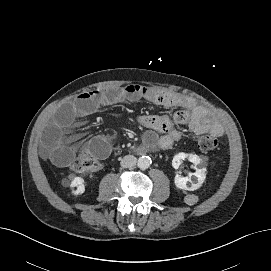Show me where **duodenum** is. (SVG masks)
<instances>
[{"label": "duodenum", "instance_id": "duodenum-1", "mask_svg": "<svg viewBox=\"0 0 271 271\" xmlns=\"http://www.w3.org/2000/svg\"><path fill=\"white\" fill-rule=\"evenodd\" d=\"M145 152H146V150H144V149L140 151L141 154H144Z\"/></svg>", "mask_w": 271, "mask_h": 271}]
</instances>
